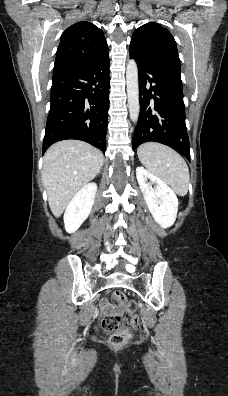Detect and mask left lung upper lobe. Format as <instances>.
<instances>
[{"mask_svg": "<svg viewBox=\"0 0 228 396\" xmlns=\"http://www.w3.org/2000/svg\"><path fill=\"white\" fill-rule=\"evenodd\" d=\"M130 49L143 57L168 62L180 68L176 42L170 32L158 23L150 22L136 29Z\"/></svg>", "mask_w": 228, "mask_h": 396, "instance_id": "obj_1", "label": "left lung upper lobe"}]
</instances>
